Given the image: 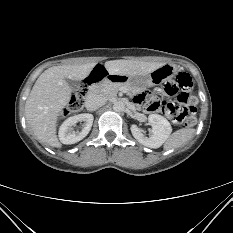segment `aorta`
Wrapping results in <instances>:
<instances>
[{"label": "aorta", "mask_w": 233, "mask_h": 233, "mask_svg": "<svg viewBox=\"0 0 233 233\" xmlns=\"http://www.w3.org/2000/svg\"><path fill=\"white\" fill-rule=\"evenodd\" d=\"M125 108V104L122 101H116L113 104V110L116 112H121Z\"/></svg>", "instance_id": "aorta-1"}]
</instances>
